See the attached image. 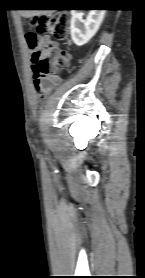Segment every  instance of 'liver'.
<instances>
[{"mask_svg": "<svg viewBox=\"0 0 145 278\" xmlns=\"http://www.w3.org/2000/svg\"><path fill=\"white\" fill-rule=\"evenodd\" d=\"M53 10H21V15L26 18H33L34 16L50 15Z\"/></svg>", "mask_w": 145, "mask_h": 278, "instance_id": "liver-1", "label": "liver"}]
</instances>
